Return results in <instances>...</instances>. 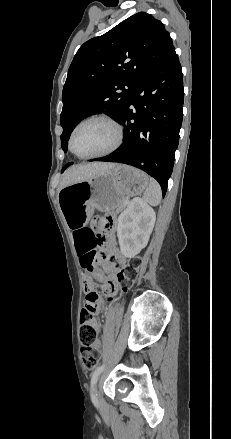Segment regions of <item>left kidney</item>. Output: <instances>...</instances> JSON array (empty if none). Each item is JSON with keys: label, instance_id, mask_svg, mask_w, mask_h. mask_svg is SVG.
<instances>
[{"label": "left kidney", "instance_id": "5707ae66", "mask_svg": "<svg viewBox=\"0 0 231 439\" xmlns=\"http://www.w3.org/2000/svg\"><path fill=\"white\" fill-rule=\"evenodd\" d=\"M155 211L141 198H134L118 217L117 236L121 253L133 258L146 247L155 224Z\"/></svg>", "mask_w": 231, "mask_h": 439}]
</instances>
